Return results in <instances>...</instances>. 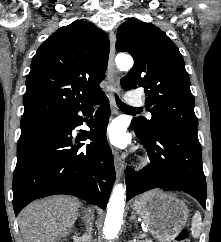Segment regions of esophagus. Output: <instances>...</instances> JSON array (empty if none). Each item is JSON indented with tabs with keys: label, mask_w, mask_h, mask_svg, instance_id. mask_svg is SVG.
Returning a JSON list of instances; mask_svg holds the SVG:
<instances>
[{
	"label": "esophagus",
	"mask_w": 221,
	"mask_h": 242,
	"mask_svg": "<svg viewBox=\"0 0 221 242\" xmlns=\"http://www.w3.org/2000/svg\"><path fill=\"white\" fill-rule=\"evenodd\" d=\"M110 54L107 68V79L109 86L107 88V95L112 105V115L117 114L116 103L113 96V92L120 91V84L118 76L115 70L114 58H115V34L113 31L110 32ZM114 163H115V172L118 179H120L124 173L125 165L122 159L120 158L118 152H114Z\"/></svg>",
	"instance_id": "1"
}]
</instances>
